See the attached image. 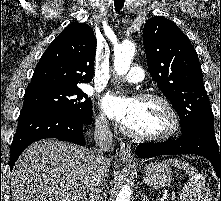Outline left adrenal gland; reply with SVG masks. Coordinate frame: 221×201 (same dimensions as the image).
I'll use <instances>...</instances> for the list:
<instances>
[{
	"instance_id": "a2214340",
	"label": "left adrenal gland",
	"mask_w": 221,
	"mask_h": 201,
	"mask_svg": "<svg viewBox=\"0 0 221 201\" xmlns=\"http://www.w3.org/2000/svg\"><path fill=\"white\" fill-rule=\"evenodd\" d=\"M142 200H143V201H149L147 195H143Z\"/></svg>"
}]
</instances>
